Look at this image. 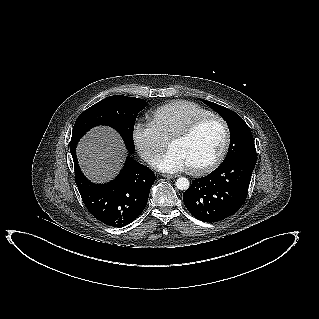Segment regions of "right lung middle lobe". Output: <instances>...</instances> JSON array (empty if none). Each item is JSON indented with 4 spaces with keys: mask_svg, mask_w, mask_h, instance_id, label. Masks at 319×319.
<instances>
[{
    "mask_svg": "<svg viewBox=\"0 0 319 319\" xmlns=\"http://www.w3.org/2000/svg\"><path fill=\"white\" fill-rule=\"evenodd\" d=\"M147 106L145 100L122 95L107 97L86 109L77 118L70 144L79 139L92 127L107 125L117 130L124 139L129 152H134L133 128L138 112Z\"/></svg>",
    "mask_w": 319,
    "mask_h": 319,
    "instance_id": "1",
    "label": "right lung middle lobe"
}]
</instances>
